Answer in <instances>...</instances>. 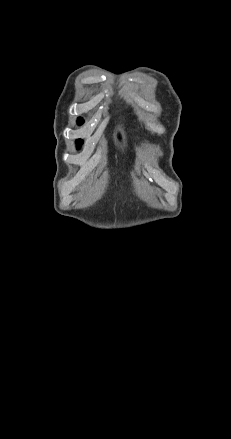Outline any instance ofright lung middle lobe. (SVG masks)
Segmentation results:
<instances>
[{
    "label": "right lung middle lobe",
    "mask_w": 231,
    "mask_h": 439,
    "mask_svg": "<svg viewBox=\"0 0 231 439\" xmlns=\"http://www.w3.org/2000/svg\"><path fill=\"white\" fill-rule=\"evenodd\" d=\"M83 122H84V121H83L82 119L79 120V124H82ZM77 143H78V144H81V143H82V140H77Z\"/></svg>",
    "instance_id": "1"
}]
</instances>
